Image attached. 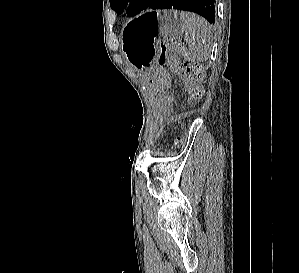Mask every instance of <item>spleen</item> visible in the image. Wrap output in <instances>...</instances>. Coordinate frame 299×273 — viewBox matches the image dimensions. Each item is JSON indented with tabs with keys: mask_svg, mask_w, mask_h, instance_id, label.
<instances>
[{
	"mask_svg": "<svg viewBox=\"0 0 299 273\" xmlns=\"http://www.w3.org/2000/svg\"><path fill=\"white\" fill-rule=\"evenodd\" d=\"M180 20L191 55L198 61H207L211 55V25L203 17L189 12H181Z\"/></svg>",
	"mask_w": 299,
	"mask_h": 273,
	"instance_id": "3e777b00",
	"label": "spleen"
}]
</instances>
